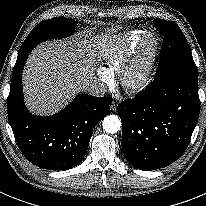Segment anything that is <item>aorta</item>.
<instances>
[{
	"mask_svg": "<svg viewBox=\"0 0 206 206\" xmlns=\"http://www.w3.org/2000/svg\"><path fill=\"white\" fill-rule=\"evenodd\" d=\"M121 121L116 115H108L103 120V129L110 134H114L120 130Z\"/></svg>",
	"mask_w": 206,
	"mask_h": 206,
	"instance_id": "1",
	"label": "aorta"
}]
</instances>
